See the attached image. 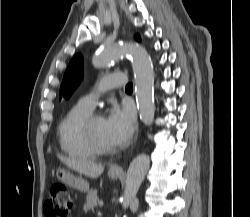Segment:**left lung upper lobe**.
Segmentation results:
<instances>
[{"label": "left lung upper lobe", "instance_id": "left-lung-upper-lobe-1", "mask_svg": "<svg viewBox=\"0 0 250 217\" xmlns=\"http://www.w3.org/2000/svg\"><path fill=\"white\" fill-rule=\"evenodd\" d=\"M136 39L139 41L140 37L137 35ZM83 58L80 54L75 55L70 61L64 78L60 87L61 97L69 98L76 87L79 85L82 78Z\"/></svg>", "mask_w": 250, "mask_h": 217}]
</instances>
